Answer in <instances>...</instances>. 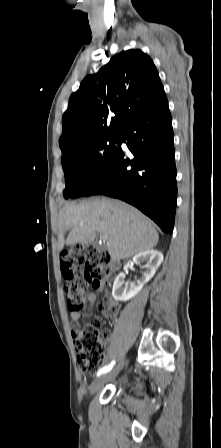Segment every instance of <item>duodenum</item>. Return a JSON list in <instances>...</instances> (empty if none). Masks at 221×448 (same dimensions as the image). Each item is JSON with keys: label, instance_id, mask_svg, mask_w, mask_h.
<instances>
[{"label": "duodenum", "instance_id": "1", "mask_svg": "<svg viewBox=\"0 0 221 448\" xmlns=\"http://www.w3.org/2000/svg\"><path fill=\"white\" fill-rule=\"evenodd\" d=\"M111 267L113 271L117 270L120 267L119 261L113 260Z\"/></svg>", "mask_w": 221, "mask_h": 448}]
</instances>
